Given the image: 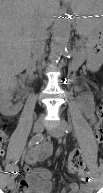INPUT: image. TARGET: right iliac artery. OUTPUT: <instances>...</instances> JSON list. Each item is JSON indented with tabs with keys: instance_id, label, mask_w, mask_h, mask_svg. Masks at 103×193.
<instances>
[{
	"instance_id": "right-iliac-artery-1",
	"label": "right iliac artery",
	"mask_w": 103,
	"mask_h": 193,
	"mask_svg": "<svg viewBox=\"0 0 103 193\" xmlns=\"http://www.w3.org/2000/svg\"><path fill=\"white\" fill-rule=\"evenodd\" d=\"M42 140H43V135H42L41 133L36 134V135H34V136L30 139V141H29V143H28V146H33V145H35V144H38V143L41 142ZM18 172H19V168H18L17 166H15V167L13 168V171H12V177H16L17 174H18Z\"/></svg>"
}]
</instances>
